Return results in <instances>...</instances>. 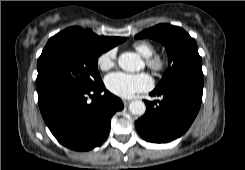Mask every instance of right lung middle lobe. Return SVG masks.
<instances>
[{
	"label": "right lung middle lobe",
	"instance_id": "dd1d6c3e",
	"mask_svg": "<svg viewBox=\"0 0 245 170\" xmlns=\"http://www.w3.org/2000/svg\"><path fill=\"white\" fill-rule=\"evenodd\" d=\"M106 50L77 39L54 36L38 59V101L68 91H88L101 84L98 57Z\"/></svg>",
	"mask_w": 245,
	"mask_h": 170
}]
</instances>
